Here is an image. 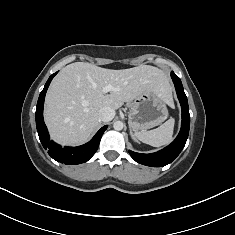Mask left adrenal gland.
<instances>
[{
  "label": "left adrenal gland",
  "mask_w": 235,
  "mask_h": 235,
  "mask_svg": "<svg viewBox=\"0 0 235 235\" xmlns=\"http://www.w3.org/2000/svg\"><path fill=\"white\" fill-rule=\"evenodd\" d=\"M130 135H131V137H132L133 140L137 141L136 138H135L134 135H133V132H132V129H131V128H130Z\"/></svg>",
  "instance_id": "a2214340"
}]
</instances>
